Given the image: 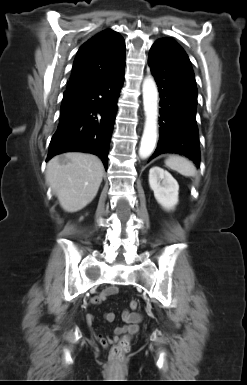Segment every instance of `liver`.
I'll list each match as a JSON object with an SVG mask.
<instances>
[{"instance_id":"liver-1","label":"liver","mask_w":247,"mask_h":385,"mask_svg":"<svg viewBox=\"0 0 247 385\" xmlns=\"http://www.w3.org/2000/svg\"><path fill=\"white\" fill-rule=\"evenodd\" d=\"M103 173L104 166L97 156L69 152L48 162L46 182L61 207L72 213L83 209L95 198Z\"/></svg>"}]
</instances>
